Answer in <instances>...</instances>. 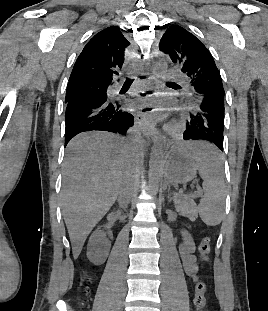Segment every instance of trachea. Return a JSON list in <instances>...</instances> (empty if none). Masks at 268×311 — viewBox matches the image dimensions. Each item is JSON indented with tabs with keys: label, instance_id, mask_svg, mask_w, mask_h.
<instances>
[{
	"label": "trachea",
	"instance_id": "3493384b",
	"mask_svg": "<svg viewBox=\"0 0 268 311\" xmlns=\"http://www.w3.org/2000/svg\"><path fill=\"white\" fill-rule=\"evenodd\" d=\"M132 82H133V80H132V79H130V78H126L125 83H132Z\"/></svg>",
	"mask_w": 268,
	"mask_h": 311
}]
</instances>
